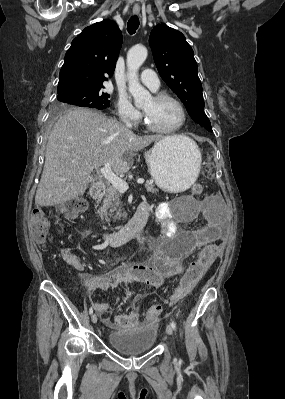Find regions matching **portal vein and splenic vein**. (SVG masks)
<instances>
[{"instance_id": "18ae733b", "label": "portal vein and splenic vein", "mask_w": 285, "mask_h": 399, "mask_svg": "<svg viewBox=\"0 0 285 399\" xmlns=\"http://www.w3.org/2000/svg\"><path fill=\"white\" fill-rule=\"evenodd\" d=\"M100 173L104 176V178L111 183L115 188L119 190V192H126L129 188L128 183L123 180L122 178L118 177L112 170H111V163L107 162L104 167L100 168ZM138 184H143L144 179H138Z\"/></svg>"}]
</instances>
